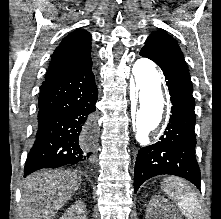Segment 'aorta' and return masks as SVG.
I'll use <instances>...</instances> for the list:
<instances>
[{
  "label": "aorta",
  "mask_w": 221,
  "mask_h": 219,
  "mask_svg": "<svg viewBox=\"0 0 221 219\" xmlns=\"http://www.w3.org/2000/svg\"><path fill=\"white\" fill-rule=\"evenodd\" d=\"M132 73L133 122L136 139L144 144L150 131L159 126L165 111L166 96L156 64L148 58L135 61Z\"/></svg>",
  "instance_id": "aorta-1"
}]
</instances>
